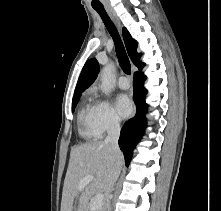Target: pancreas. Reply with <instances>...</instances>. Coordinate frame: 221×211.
<instances>
[{
	"instance_id": "pancreas-1",
	"label": "pancreas",
	"mask_w": 221,
	"mask_h": 211,
	"mask_svg": "<svg viewBox=\"0 0 221 211\" xmlns=\"http://www.w3.org/2000/svg\"><path fill=\"white\" fill-rule=\"evenodd\" d=\"M91 202H87L84 208V211H105V207L101 206L100 208L96 209V210H92L90 207Z\"/></svg>"
}]
</instances>
